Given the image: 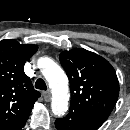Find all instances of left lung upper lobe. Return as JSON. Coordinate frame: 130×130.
<instances>
[{"instance_id": "1", "label": "left lung upper lobe", "mask_w": 130, "mask_h": 130, "mask_svg": "<svg viewBox=\"0 0 130 130\" xmlns=\"http://www.w3.org/2000/svg\"><path fill=\"white\" fill-rule=\"evenodd\" d=\"M71 89V106L108 118L119 95V82L112 65L103 57L75 48L59 56Z\"/></svg>"}]
</instances>
